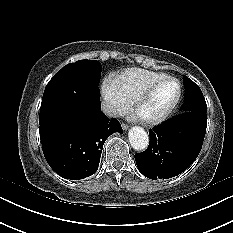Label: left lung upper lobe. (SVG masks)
<instances>
[{
  "instance_id": "obj_1",
  "label": "left lung upper lobe",
  "mask_w": 233,
  "mask_h": 233,
  "mask_svg": "<svg viewBox=\"0 0 233 233\" xmlns=\"http://www.w3.org/2000/svg\"><path fill=\"white\" fill-rule=\"evenodd\" d=\"M185 81V102L181 107L183 112L200 111L207 112L206 102L199 86L188 77L184 76Z\"/></svg>"
}]
</instances>
